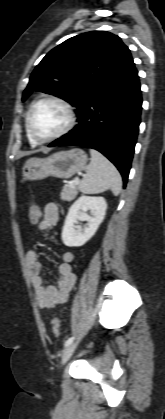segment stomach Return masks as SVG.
<instances>
[{"instance_id": "obj_1", "label": "stomach", "mask_w": 165, "mask_h": 419, "mask_svg": "<svg viewBox=\"0 0 165 419\" xmlns=\"http://www.w3.org/2000/svg\"><path fill=\"white\" fill-rule=\"evenodd\" d=\"M87 154L79 148L60 151L47 158H33L23 168L26 180H42L47 177L70 178L82 171L87 164Z\"/></svg>"}]
</instances>
